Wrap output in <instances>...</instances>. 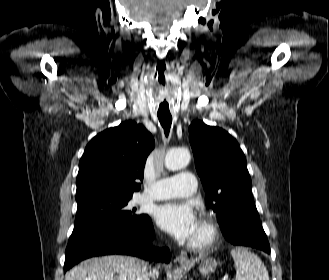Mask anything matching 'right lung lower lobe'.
<instances>
[{
  "mask_svg": "<svg viewBox=\"0 0 329 280\" xmlns=\"http://www.w3.org/2000/svg\"><path fill=\"white\" fill-rule=\"evenodd\" d=\"M153 238L151 220L137 231L104 222L90 224L72 232L65 251L64 272L84 259L109 254L132 255L168 263L171 257L168 248L153 247Z\"/></svg>",
  "mask_w": 329,
  "mask_h": 280,
  "instance_id": "1",
  "label": "right lung lower lobe"
}]
</instances>
